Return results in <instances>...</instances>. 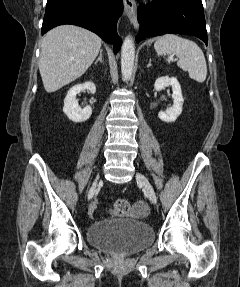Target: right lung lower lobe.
<instances>
[{"label": "right lung lower lobe", "instance_id": "98d812e1", "mask_svg": "<svg viewBox=\"0 0 240 287\" xmlns=\"http://www.w3.org/2000/svg\"><path fill=\"white\" fill-rule=\"evenodd\" d=\"M122 13L123 0H47L42 35L58 25H78L114 44L116 53L122 43L116 31Z\"/></svg>", "mask_w": 240, "mask_h": 287}]
</instances>
